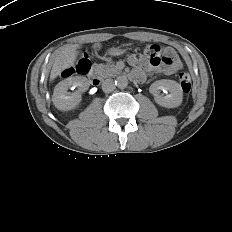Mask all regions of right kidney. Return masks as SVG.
<instances>
[{"mask_svg": "<svg viewBox=\"0 0 232 232\" xmlns=\"http://www.w3.org/2000/svg\"><path fill=\"white\" fill-rule=\"evenodd\" d=\"M78 90L72 94L68 93L69 88H76ZM89 87L87 78L82 76L69 77L59 82L55 88L52 96V101L55 107L62 111L72 110L81 102V92H84Z\"/></svg>", "mask_w": 232, "mask_h": 232, "instance_id": "1", "label": "right kidney"}]
</instances>
